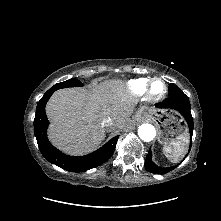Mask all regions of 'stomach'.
Listing matches in <instances>:
<instances>
[{"label":"stomach","instance_id":"0dacf381","mask_svg":"<svg viewBox=\"0 0 221 221\" xmlns=\"http://www.w3.org/2000/svg\"><path fill=\"white\" fill-rule=\"evenodd\" d=\"M138 114L145 119L152 120L158 127V141L169 145L178 135L187 133L185 123L178 113L171 110H157L145 105L140 108Z\"/></svg>","mask_w":221,"mask_h":221}]
</instances>
